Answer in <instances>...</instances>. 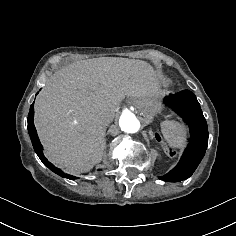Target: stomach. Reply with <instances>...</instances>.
<instances>
[{"label": "stomach", "instance_id": "stomach-1", "mask_svg": "<svg viewBox=\"0 0 236 236\" xmlns=\"http://www.w3.org/2000/svg\"><path fill=\"white\" fill-rule=\"evenodd\" d=\"M159 99H160V94L152 97L151 100L149 101L148 105L151 107H156L158 105Z\"/></svg>", "mask_w": 236, "mask_h": 236}]
</instances>
